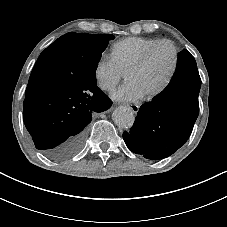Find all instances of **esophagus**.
Wrapping results in <instances>:
<instances>
[{"instance_id":"34e87169","label":"esophagus","mask_w":227,"mask_h":227,"mask_svg":"<svg viewBox=\"0 0 227 227\" xmlns=\"http://www.w3.org/2000/svg\"><path fill=\"white\" fill-rule=\"evenodd\" d=\"M127 107L131 109L133 113H137L139 111L140 106L136 104H128Z\"/></svg>"}]
</instances>
